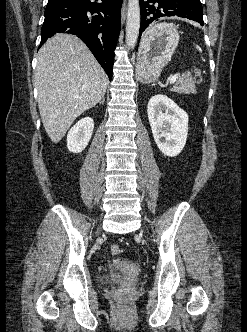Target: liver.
<instances>
[{
    "instance_id": "1",
    "label": "liver",
    "mask_w": 247,
    "mask_h": 332,
    "mask_svg": "<svg viewBox=\"0 0 247 332\" xmlns=\"http://www.w3.org/2000/svg\"><path fill=\"white\" fill-rule=\"evenodd\" d=\"M37 59L34 79L40 116L51 141L58 143L78 116L102 100L108 78L74 35L51 37Z\"/></svg>"
}]
</instances>
